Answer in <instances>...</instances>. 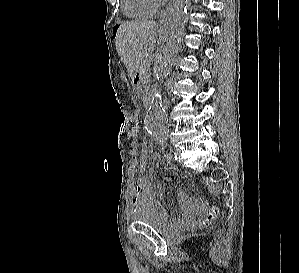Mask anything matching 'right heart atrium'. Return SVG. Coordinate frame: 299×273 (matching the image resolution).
<instances>
[{
  "label": "right heart atrium",
  "instance_id": "obj_1",
  "mask_svg": "<svg viewBox=\"0 0 299 273\" xmlns=\"http://www.w3.org/2000/svg\"><path fill=\"white\" fill-rule=\"evenodd\" d=\"M157 0H150V2L154 5Z\"/></svg>",
  "mask_w": 299,
  "mask_h": 273
}]
</instances>
